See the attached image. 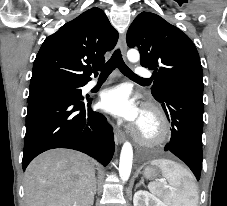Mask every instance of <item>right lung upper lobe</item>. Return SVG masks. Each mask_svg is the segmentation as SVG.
Here are the masks:
<instances>
[{
	"mask_svg": "<svg viewBox=\"0 0 227 206\" xmlns=\"http://www.w3.org/2000/svg\"><path fill=\"white\" fill-rule=\"evenodd\" d=\"M117 40L118 33L103 10L91 8L45 39L34 61L31 83L54 79L87 84L91 65L104 63V54Z\"/></svg>",
	"mask_w": 227,
	"mask_h": 206,
	"instance_id": "obj_1",
	"label": "right lung upper lobe"
}]
</instances>
